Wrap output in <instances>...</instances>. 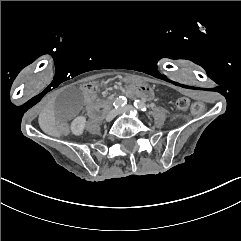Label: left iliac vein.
Here are the masks:
<instances>
[{"label": "left iliac vein", "instance_id": "obj_1", "mask_svg": "<svg viewBox=\"0 0 241 241\" xmlns=\"http://www.w3.org/2000/svg\"><path fill=\"white\" fill-rule=\"evenodd\" d=\"M132 111H134L133 106L127 105L123 109L119 110V114H123V113H126V112H132Z\"/></svg>", "mask_w": 241, "mask_h": 241}]
</instances>
